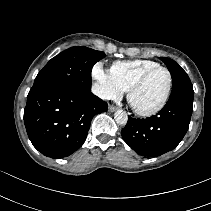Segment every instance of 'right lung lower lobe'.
Here are the masks:
<instances>
[{
  "label": "right lung lower lobe",
  "instance_id": "obj_1",
  "mask_svg": "<svg viewBox=\"0 0 211 211\" xmlns=\"http://www.w3.org/2000/svg\"><path fill=\"white\" fill-rule=\"evenodd\" d=\"M107 108L108 104L91 91L38 85L27 96L24 123L30 141L40 153L64 158L82 146L92 118Z\"/></svg>",
  "mask_w": 211,
  "mask_h": 211
}]
</instances>
